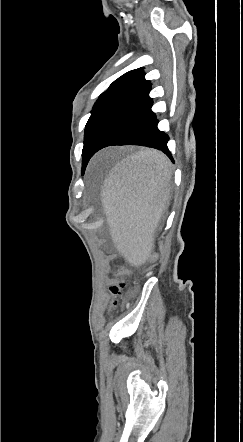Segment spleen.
<instances>
[{"mask_svg":"<svg viewBox=\"0 0 243 442\" xmlns=\"http://www.w3.org/2000/svg\"><path fill=\"white\" fill-rule=\"evenodd\" d=\"M167 169V159L161 153L144 149L121 161L111 178H105L108 226L113 227L116 239L132 244L135 254L129 255L130 263H140V253H149L147 243L167 199L166 193L136 192H166Z\"/></svg>","mask_w":243,"mask_h":442,"instance_id":"1","label":"spleen"}]
</instances>
